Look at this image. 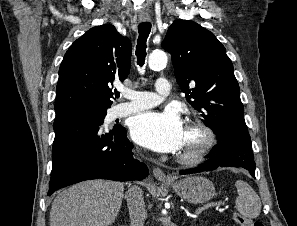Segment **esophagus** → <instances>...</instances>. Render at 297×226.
Wrapping results in <instances>:
<instances>
[{"instance_id": "34e87169", "label": "esophagus", "mask_w": 297, "mask_h": 226, "mask_svg": "<svg viewBox=\"0 0 297 226\" xmlns=\"http://www.w3.org/2000/svg\"><path fill=\"white\" fill-rule=\"evenodd\" d=\"M146 20H147L146 18H141V21H146ZM152 172H153V176L157 180H159L161 182H170V181H172V179L170 177L166 176V174L164 173V171L161 170L158 167L153 168V171Z\"/></svg>"}]
</instances>
